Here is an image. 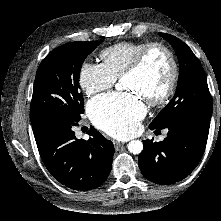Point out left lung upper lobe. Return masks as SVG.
I'll list each match as a JSON object with an SVG mask.
<instances>
[{"mask_svg":"<svg viewBox=\"0 0 221 221\" xmlns=\"http://www.w3.org/2000/svg\"><path fill=\"white\" fill-rule=\"evenodd\" d=\"M160 35L170 42L178 56L179 79L173 99L161 110L150 126L164 129L176 121L192 117L210 120L212 100L200 61L177 37L166 33Z\"/></svg>","mask_w":221,"mask_h":221,"instance_id":"5c2ea615","label":"left lung upper lobe"}]
</instances>
